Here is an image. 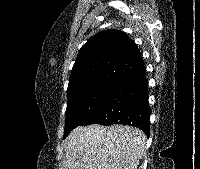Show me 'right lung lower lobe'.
<instances>
[{
    "instance_id": "obj_1",
    "label": "right lung lower lobe",
    "mask_w": 200,
    "mask_h": 169,
    "mask_svg": "<svg viewBox=\"0 0 200 169\" xmlns=\"http://www.w3.org/2000/svg\"><path fill=\"white\" fill-rule=\"evenodd\" d=\"M146 73L119 81L108 98L80 126L89 124H124L150 134L148 82Z\"/></svg>"
}]
</instances>
